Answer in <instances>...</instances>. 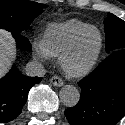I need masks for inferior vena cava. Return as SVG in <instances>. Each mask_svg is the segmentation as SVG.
I'll list each match as a JSON object with an SVG mask.
<instances>
[{"mask_svg":"<svg viewBox=\"0 0 125 125\" xmlns=\"http://www.w3.org/2000/svg\"><path fill=\"white\" fill-rule=\"evenodd\" d=\"M26 74L27 76H37V77H43L45 74L44 66L38 62V61H30L26 65Z\"/></svg>","mask_w":125,"mask_h":125,"instance_id":"1","label":"inferior vena cava"}]
</instances>
